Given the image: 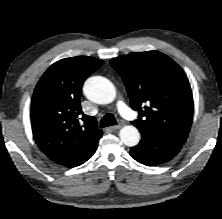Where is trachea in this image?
Here are the masks:
<instances>
[{
  "label": "trachea",
  "mask_w": 222,
  "mask_h": 219,
  "mask_svg": "<svg viewBox=\"0 0 222 219\" xmlns=\"http://www.w3.org/2000/svg\"><path fill=\"white\" fill-rule=\"evenodd\" d=\"M116 124H117V122H116L114 115L111 113H107L101 119L100 128H104V127H108V126H112V125H116Z\"/></svg>",
  "instance_id": "obj_1"
}]
</instances>
